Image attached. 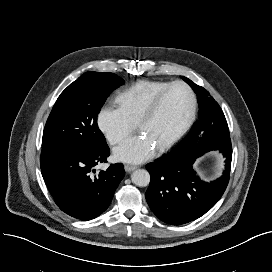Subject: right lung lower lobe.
Here are the masks:
<instances>
[{
	"instance_id": "right-lung-lower-lobe-1",
	"label": "right lung lower lobe",
	"mask_w": 272,
	"mask_h": 272,
	"mask_svg": "<svg viewBox=\"0 0 272 272\" xmlns=\"http://www.w3.org/2000/svg\"><path fill=\"white\" fill-rule=\"evenodd\" d=\"M110 155L107 145L90 149L50 148L41 152L42 176L57 206L66 214L90 220L109 206L125 175L121 163L95 173L98 163Z\"/></svg>"
}]
</instances>
